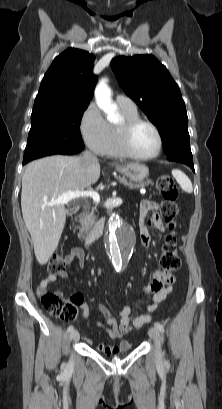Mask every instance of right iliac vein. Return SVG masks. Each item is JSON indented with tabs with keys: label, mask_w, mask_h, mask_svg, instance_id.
Instances as JSON below:
<instances>
[{
	"label": "right iliac vein",
	"mask_w": 222,
	"mask_h": 409,
	"mask_svg": "<svg viewBox=\"0 0 222 409\" xmlns=\"http://www.w3.org/2000/svg\"><path fill=\"white\" fill-rule=\"evenodd\" d=\"M70 338H71V340H73V341L78 340V339H79V333H78V331H77V330L71 331V333H70Z\"/></svg>",
	"instance_id": "right-iliac-vein-1"
}]
</instances>
